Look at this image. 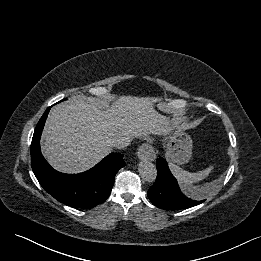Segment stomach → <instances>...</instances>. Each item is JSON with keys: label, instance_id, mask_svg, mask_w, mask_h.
<instances>
[{"label": "stomach", "instance_id": "stomach-1", "mask_svg": "<svg viewBox=\"0 0 261 261\" xmlns=\"http://www.w3.org/2000/svg\"><path fill=\"white\" fill-rule=\"evenodd\" d=\"M172 132L166 142V158L175 164L187 163L192 156V139L180 127L172 124Z\"/></svg>", "mask_w": 261, "mask_h": 261}]
</instances>
